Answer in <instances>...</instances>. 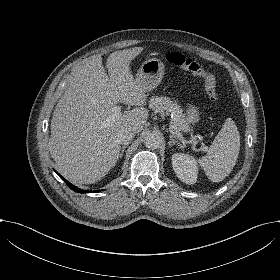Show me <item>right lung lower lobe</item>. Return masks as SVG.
<instances>
[{"label":"right lung lower lobe","instance_id":"98d812e1","mask_svg":"<svg viewBox=\"0 0 280 280\" xmlns=\"http://www.w3.org/2000/svg\"><path fill=\"white\" fill-rule=\"evenodd\" d=\"M57 173V172H56ZM58 174V173H57ZM64 181L65 183L68 185L69 188H71L73 191L78 192V193H87V192H98L100 190H96V191H87V190H82L77 188L76 186L72 185L71 183H69L66 179H64L60 174H58Z\"/></svg>","mask_w":280,"mask_h":280}]
</instances>
